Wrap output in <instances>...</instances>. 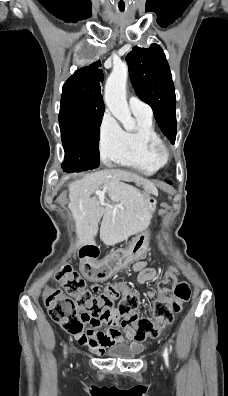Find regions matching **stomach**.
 <instances>
[{"label":"stomach","instance_id":"stomach-1","mask_svg":"<svg viewBox=\"0 0 228 396\" xmlns=\"http://www.w3.org/2000/svg\"><path fill=\"white\" fill-rule=\"evenodd\" d=\"M145 205L149 209L150 214L154 213L157 205V201L154 198V194L149 190H144L143 192ZM149 248V231L144 230L137 234L131 242L128 244L127 248L121 250L124 252L129 260H137L142 258L148 251Z\"/></svg>","mask_w":228,"mask_h":396}]
</instances>
